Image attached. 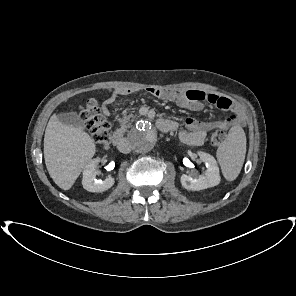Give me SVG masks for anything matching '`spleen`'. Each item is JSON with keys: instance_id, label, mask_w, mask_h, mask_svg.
Segmentation results:
<instances>
[{"instance_id": "spleen-1", "label": "spleen", "mask_w": 296, "mask_h": 296, "mask_svg": "<svg viewBox=\"0 0 296 296\" xmlns=\"http://www.w3.org/2000/svg\"><path fill=\"white\" fill-rule=\"evenodd\" d=\"M246 154V135L242 127L233 126L227 139L218 147L216 156L223 176L228 181L235 180L244 163Z\"/></svg>"}]
</instances>
